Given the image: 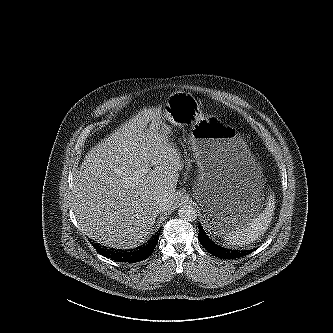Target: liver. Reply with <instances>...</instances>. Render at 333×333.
<instances>
[{
	"mask_svg": "<svg viewBox=\"0 0 333 333\" xmlns=\"http://www.w3.org/2000/svg\"><path fill=\"white\" fill-rule=\"evenodd\" d=\"M160 111L144 110L123 124L89 151L77 174L76 219L89 238L104 246H139L152 232L156 198L168 199L169 209L175 202L183 161L174 144L155 128Z\"/></svg>",
	"mask_w": 333,
	"mask_h": 333,
	"instance_id": "liver-1",
	"label": "liver"
}]
</instances>
